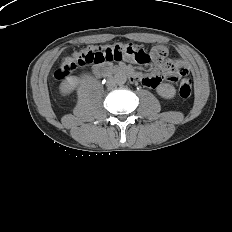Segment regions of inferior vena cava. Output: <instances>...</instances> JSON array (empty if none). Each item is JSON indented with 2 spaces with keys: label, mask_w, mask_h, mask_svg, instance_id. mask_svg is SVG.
<instances>
[{
  "label": "inferior vena cava",
  "mask_w": 232,
  "mask_h": 232,
  "mask_svg": "<svg viewBox=\"0 0 232 232\" xmlns=\"http://www.w3.org/2000/svg\"><path fill=\"white\" fill-rule=\"evenodd\" d=\"M114 86H115V81L113 79H111V78L108 79V81H107V87L109 89H112Z\"/></svg>",
  "instance_id": "obj_1"
}]
</instances>
